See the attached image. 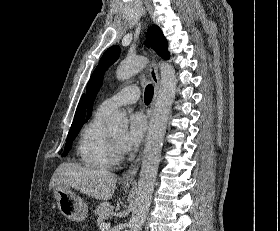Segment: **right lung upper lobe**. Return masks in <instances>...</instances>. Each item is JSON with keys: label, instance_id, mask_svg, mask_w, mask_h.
Returning a JSON list of instances; mask_svg holds the SVG:
<instances>
[{"label": "right lung upper lobe", "instance_id": "right-lung-upper-lobe-1", "mask_svg": "<svg viewBox=\"0 0 280 231\" xmlns=\"http://www.w3.org/2000/svg\"><path fill=\"white\" fill-rule=\"evenodd\" d=\"M84 115H85V100H84V97L82 96V98L78 104V107H77V110L75 113V117H74V120H73V123H72L70 129L82 127L83 123H84Z\"/></svg>", "mask_w": 280, "mask_h": 231}]
</instances>
